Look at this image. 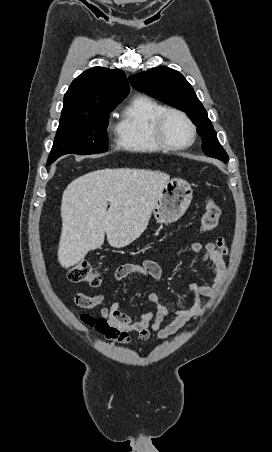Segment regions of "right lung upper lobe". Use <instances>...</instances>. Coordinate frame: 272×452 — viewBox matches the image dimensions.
I'll return each instance as SVG.
<instances>
[{
	"mask_svg": "<svg viewBox=\"0 0 272 452\" xmlns=\"http://www.w3.org/2000/svg\"><path fill=\"white\" fill-rule=\"evenodd\" d=\"M126 75L120 70L94 67L79 75L64 96L61 118L77 117L119 104L129 93Z\"/></svg>",
	"mask_w": 272,
	"mask_h": 452,
	"instance_id": "right-lung-upper-lobe-1",
	"label": "right lung upper lobe"
}]
</instances>
